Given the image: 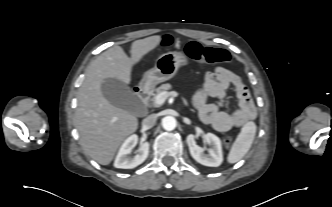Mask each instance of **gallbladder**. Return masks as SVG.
<instances>
[{
	"instance_id": "obj_1",
	"label": "gallbladder",
	"mask_w": 332,
	"mask_h": 207,
	"mask_svg": "<svg viewBox=\"0 0 332 207\" xmlns=\"http://www.w3.org/2000/svg\"><path fill=\"white\" fill-rule=\"evenodd\" d=\"M104 98L112 105L139 114L143 106L127 84L117 78H106L101 83Z\"/></svg>"
}]
</instances>
